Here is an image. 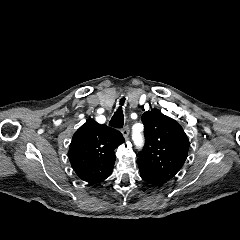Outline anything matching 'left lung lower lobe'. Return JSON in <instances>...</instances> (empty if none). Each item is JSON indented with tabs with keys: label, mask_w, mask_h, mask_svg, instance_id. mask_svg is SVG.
Returning a JSON list of instances; mask_svg holds the SVG:
<instances>
[{
	"label": "left lung lower lobe",
	"mask_w": 240,
	"mask_h": 240,
	"mask_svg": "<svg viewBox=\"0 0 240 240\" xmlns=\"http://www.w3.org/2000/svg\"><path fill=\"white\" fill-rule=\"evenodd\" d=\"M139 169H140L141 178L146 182L152 184L153 186H161L165 184L167 181H169L163 177L156 175L146 167L139 166Z\"/></svg>",
	"instance_id": "obj_1"
}]
</instances>
